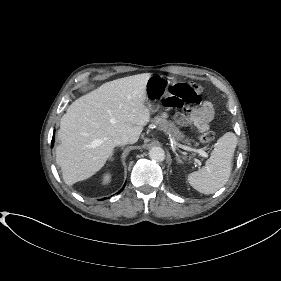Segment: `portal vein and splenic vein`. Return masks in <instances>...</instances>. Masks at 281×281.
<instances>
[{
  "label": "portal vein and splenic vein",
  "instance_id": "1",
  "mask_svg": "<svg viewBox=\"0 0 281 281\" xmlns=\"http://www.w3.org/2000/svg\"><path fill=\"white\" fill-rule=\"evenodd\" d=\"M173 143H174L175 145H177L178 147L184 149V150H187V151H190V152L198 153V154H199L200 156H202V157H207V156H208L207 153H206L204 150H202V149H194V148H191V147H188V146H184V145L178 144V143H176L175 141H173Z\"/></svg>",
  "mask_w": 281,
  "mask_h": 281
}]
</instances>
